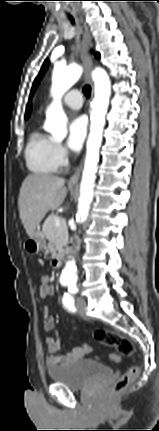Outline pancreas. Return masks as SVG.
Returning <instances> with one entry per match:
<instances>
[{"instance_id":"1","label":"pancreas","mask_w":159,"mask_h":431,"mask_svg":"<svg viewBox=\"0 0 159 431\" xmlns=\"http://www.w3.org/2000/svg\"><path fill=\"white\" fill-rule=\"evenodd\" d=\"M58 217L56 214H50L43 224V234L50 241L51 246L49 247L52 255L56 254L66 245L68 240V229L64 222L57 227L55 226V218Z\"/></svg>"}]
</instances>
